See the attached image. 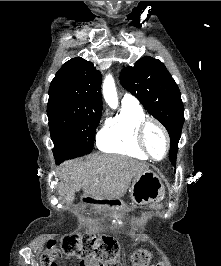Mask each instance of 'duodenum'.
<instances>
[{
    "label": "duodenum",
    "instance_id": "1",
    "mask_svg": "<svg viewBox=\"0 0 221 266\" xmlns=\"http://www.w3.org/2000/svg\"><path fill=\"white\" fill-rule=\"evenodd\" d=\"M86 195H90V192H86ZM106 202L116 206L119 204L117 200H106ZM82 203H89V198H82ZM98 203H102V198H94V201H90V206H98Z\"/></svg>",
    "mask_w": 221,
    "mask_h": 266
}]
</instances>
